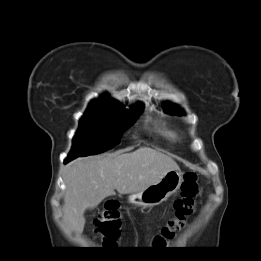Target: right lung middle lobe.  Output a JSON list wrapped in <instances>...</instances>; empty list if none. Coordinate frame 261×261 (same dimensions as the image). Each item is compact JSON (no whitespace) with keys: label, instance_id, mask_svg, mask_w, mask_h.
Returning a JSON list of instances; mask_svg holds the SVG:
<instances>
[{"label":"right lung middle lobe","instance_id":"obj_1","mask_svg":"<svg viewBox=\"0 0 261 261\" xmlns=\"http://www.w3.org/2000/svg\"><path fill=\"white\" fill-rule=\"evenodd\" d=\"M143 108L140 103L128 111L118 101H93L80 120L68 157L93 155L113 148L118 144L122 133L142 113Z\"/></svg>","mask_w":261,"mask_h":261}]
</instances>
